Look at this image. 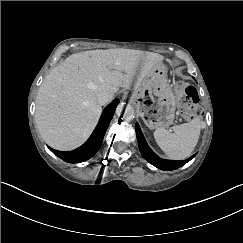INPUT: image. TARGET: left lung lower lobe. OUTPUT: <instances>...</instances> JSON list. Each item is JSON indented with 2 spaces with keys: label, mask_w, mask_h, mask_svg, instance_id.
<instances>
[{
  "label": "left lung lower lobe",
  "mask_w": 243,
  "mask_h": 243,
  "mask_svg": "<svg viewBox=\"0 0 243 243\" xmlns=\"http://www.w3.org/2000/svg\"><path fill=\"white\" fill-rule=\"evenodd\" d=\"M135 130H136L139 149H140L142 156L150 164L154 165L155 167H157L161 170L171 171V170H175L177 168H180L181 166H183L184 164L189 162L196 155V154H194L193 156H191L187 160H181V161L161 159L147 145L138 124L135 125Z\"/></svg>",
  "instance_id": "1"
}]
</instances>
